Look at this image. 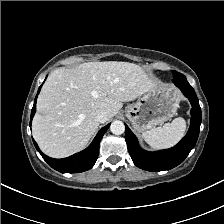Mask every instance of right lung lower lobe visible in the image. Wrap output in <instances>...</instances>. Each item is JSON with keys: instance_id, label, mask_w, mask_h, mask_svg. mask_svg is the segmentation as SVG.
Masks as SVG:
<instances>
[{"instance_id": "98d812e1", "label": "right lung lower lobe", "mask_w": 224, "mask_h": 224, "mask_svg": "<svg viewBox=\"0 0 224 224\" xmlns=\"http://www.w3.org/2000/svg\"><path fill=\"white\" fill-rule=\"evenodd\" d=\"M41 86L38 90L37 95L40 92ZM36 99H37V96L35 98L34 105H33L32 112H31L30 125H31L32 118L36 112ZM109 126H110V124L106 125L98 132V134L96 135L93 142L90 144V146L88 148H86L85 150H83L77 154H74L70 157L63 158V159H53V158L46 156L45 154H43L40 151L37 143L34 140H33V142H34L36 149L43 157V159L53 169H55L61 173H79V172L87 171L94 166V164L97 160V157H98V153H99V143H100L101 138L103 137L104 133L109 128Z\"/></svg>"}]
</instances>
